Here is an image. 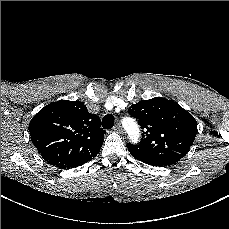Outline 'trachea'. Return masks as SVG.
<instances>
[{"label": "trachea", "instance_id": "1", "mask_svg": "<svg viewBox=\"0 0 229 229\" xmlns=\"http://www.w3.org/2000/svg\"><path fill=\"white\" fill-rule=\"evenodd\" d=\"M104 129H111L114 126V117L111 114H106L102 119Z\"/></svg>", "mask_w": 229, "mask_h": 229}]
</instances>
